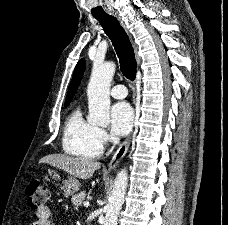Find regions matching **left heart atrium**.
<instances>
[{
  "label": "left heart atrium",
  "instance_id": "left-heart-atrium-1",
  "mask_svg": "<svg viewBox=\"0 0 228 225\" xmlns=\"http://www.w3.org/2000/svg\"><path fill=\"white\" fill-rule=\"evenodd\" d=\"M110 129L115 136H125L129 133L134 119L131 106L127 102L115 103L110 109Z\"/></svg>",
  "mask_w": 228,
  "mask_h": 225
}]
</instances>
